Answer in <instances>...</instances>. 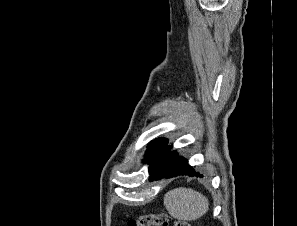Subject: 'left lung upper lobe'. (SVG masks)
<instances>
[{"instance_id":"5c2ea615","label":"left lung upper lobe","mask_w":297,"mask_h":226,"mask_svg":"<svg viewBox=\"0 0 297 226\" xmlns=\"http://www.w3.org/2000/svg\"><path fill=\"white\" fill-rule=\"evenodd\" d=\"M168 139L159 138L155 141H152L148 145V149L146 151V160L144 162H148L149 166V174L151 173L152 169L159 161V159L163 156L165 150L167 149Z\"/></svg>"}]
</instances>
